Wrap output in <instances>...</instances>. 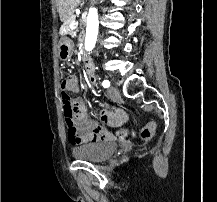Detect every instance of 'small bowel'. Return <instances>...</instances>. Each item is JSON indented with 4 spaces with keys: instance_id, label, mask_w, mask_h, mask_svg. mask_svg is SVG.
<instances>
[{
    "instance_id": "small-bowel-1",
    "label": "small bowel",
    "mask_w": 217,
    "mask_h": 202,
    "mask_svg": "<svg viewBox=\"0 0 217 202\" xmlns=\"http://www.w3.org/2000/svg\"><path fill=\"white\" fill-rule=\"evenodd\" d=\"M88 82L91 86H94L96 78L93 80L88 78ZM69 105L72 110L75 128L69 132L68 141L73 147L126 138V132L120 129L127 120L125 112L120 110L112 111L107 107H102L96 116L93 114L91 107L81 98L71 100ZM97 118L105 125H100Z\"/></svg>"
}]
</instances>
